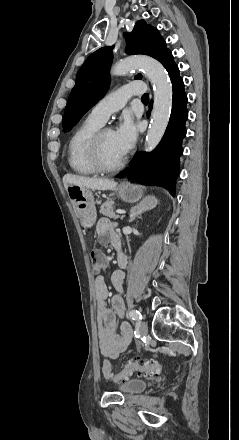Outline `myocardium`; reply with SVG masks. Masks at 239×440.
Returning a JSON list of instances; mask_svg holds the SVG:
<instances>
[{"instance_id": "1", "label": "myocardium", "mask_w": 239, "mask_h": 440, "mask_svg": "<svg viewBox=\"0 0 239 440\" xmlns=\"http://www.w3.org/2000/svg\"><path fill=\"white\" fill-rule=\"evenodd\" d=\"M112 131L109 127H100L89 139L87 144V156L91 165L98 171L103 173H112L118 171L126 162L127 155L121 156L115 164L107 165L101 153V140L105 132Z\"/></svg>"}]
</instances>
